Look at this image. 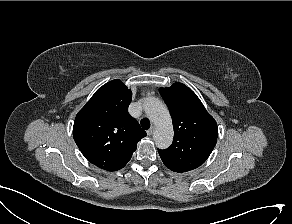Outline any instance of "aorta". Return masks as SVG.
Wrapping results in <instances>:
<instances>
[{"label": "aorta", "mask_w": 292, "mask_h": 224, "mask_svg": "<svg viewBox=\"0 0 292 224\" xmlns=\"http://www.w3.org/2000/svg\"><path fill=\"white\" fill-rule=\"evenodd\" d=\"M144 110L155 125L153 139L159 149L168 148L173 141V125L166 105L156 97H147Z\"/></svg>", "instance_id": "762f6f07"}]
</instances>
